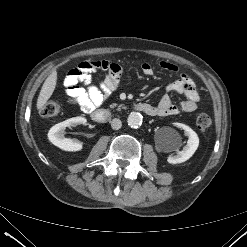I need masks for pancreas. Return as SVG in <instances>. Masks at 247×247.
Here are the masks:
<instances>
[{
  "instance_id": "pancreas-1",
  "label": "pancreas",
  "mask_w": 247,
  "mask_h": 247,
  "mask_svg": "<svg viewBox=\"0 0 247 247\" xmlns=\"http://www.w3.org/2000/svg\"><path fill=\"white\" fill-rule=\"evenodd\" d=\"M115 106H116V104H113L111 107H115ZM121 108L125 109L126 107L123 104H121L118 106V110Z\"/></svg>"
}]
</instances>
